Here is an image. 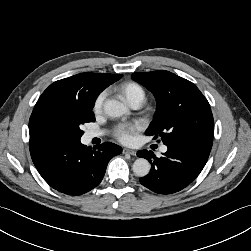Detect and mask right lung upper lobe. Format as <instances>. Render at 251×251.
I'll list each match as a JSON object with an SVG mask.
<instances>
[{"label": "right lung upper lobe", "instance_id": "obj_1", "mask_svg": "<svg viewBox=\"0 0 251 251\" xmlns=\"http://www.w3.org/2000/svg\"><path fill=\"white\" fill-rule=\"evenodd\" d=\"M121 74L81 73L52 83L38 99L29 120L30 140L47 139L42 117L45 110L54 105L86 103L87 84L95 82L101 91L119 80Z\"/></svg>", "mask_w": 251, "mask_h": 251}]
</instances>
